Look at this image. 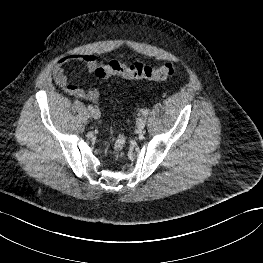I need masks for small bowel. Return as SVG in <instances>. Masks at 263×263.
I'll return each instance as SVG.
<instances>
[{"instance_id": "1", "label": "small bowel", "mask_w": 263, "mask_h": 263, "mask_svg": "<svg viewBox=\"0 0 263 263\" xmlns=\"http://www.w3.org/2000/svg\"><path fill=\"white\" fill-rule=\"evenodd\" d=\"M75 63L84 64L90 72H95L100 66L99 61L93 54L83 53L65 56L58 60L53 68V77L55 82L64 92L73 97L96 102L100 97V93L97 89H84L73 84L67 77L65 73L66 66Z\"/></svg>"}]
</instances>
